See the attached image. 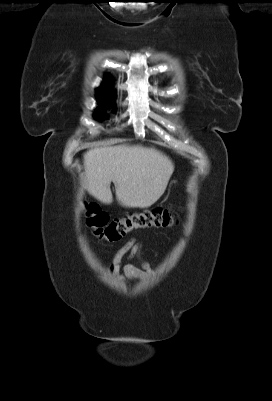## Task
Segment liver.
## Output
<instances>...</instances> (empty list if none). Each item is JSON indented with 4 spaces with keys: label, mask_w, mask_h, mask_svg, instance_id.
Wrapping results in <instances>:
<instances>
[{
    "label": "liver",
    "mask_w": 272,
    "mask_h": 401,
    "mask_svg": "<svg viewBox=\"0 0 272 401\" xmlns=\"http://www.w3.org/2000/svg\"><path fill=\"white\" fill-rule=\"evenodd\" d=\"M85 187L102 203H112L111 182L118 202L148 208L165 192L174 164L162 152L141 145H116L84 154Z\"/></svg>",
    "instance_id": "liver-1"
}]
</instances>
